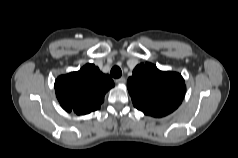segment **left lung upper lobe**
<instances>
[{
  "label": "left lung upper lobe",
  "instance_id": "1",
  "mask_svg": "<svg viewBox=\"0 0 238 158\" xmlns=\"http://www.w3.org/2000/svg\"><path fill=\"white\" fill-rule=\"evenodd\" d=\"M127 88L134 106L153 117L173 112L181 104L186 90L179 73L160 71L151 63L136 66L128 78Z\"/></svg>",
  "mask_w": 238,
  "mask_h": 158
}]
</instances>
